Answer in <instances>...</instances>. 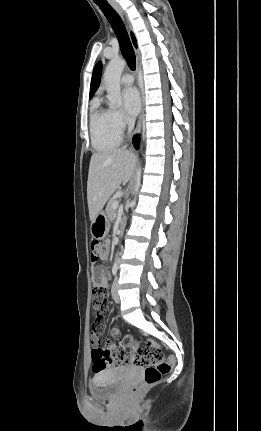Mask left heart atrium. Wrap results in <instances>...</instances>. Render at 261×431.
<instances>
[{
    "label": "left heart atrium",
    "instance_id": "obj_1",
    "mask_svg": "<svg viewBox=\"0 0 261 431\" xmlns=\"http://www.w3.org/2000/svg\"><path fill=\"white\" fill-rule=\"evenodd\" d=\"M122 106L126 116L133 119L141 105L140 96L135 87H127L122 91Z\"/></svg>",
    "mask_w": 261,
    "mask_h": 431
}]
</instances>
